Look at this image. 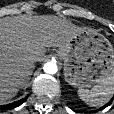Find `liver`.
I'll list each match as a JSON object with an SVG mask.
<instances>
[{"label": "liver", "mask_w": 114, "mask_h": 114, "mask_svg": "<svg viewBox=\"0 0 114 114\" xmlns=\"http://www.w3.org/2000/svg\"><path fill=\"white\" fill-rule=\"evenodd\" d=\"M85 29L53 16L0 19V104L13 98L27 81L46 47H62Z\"/></svg>", "instance_id": "1"}]
</instances>
